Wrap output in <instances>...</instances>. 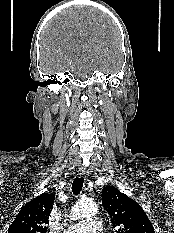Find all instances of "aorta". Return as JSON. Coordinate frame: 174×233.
<instances>
[{"label": "aorta", "instance_id": "762f6f07", "mask_svg": "<svg viewBox=\"0 0 174 233\" xmlns=\"http://www.w3.org/2000/svg\"><path fill=\"white\" fill-rule=\"evenodd\" d=\"M98 212V208L94 203L91 202H77L71 210L72 217L75 219L92 217Z\"/></svg>", "mask_w": 174, "mask_h": 233}]
</instances>
